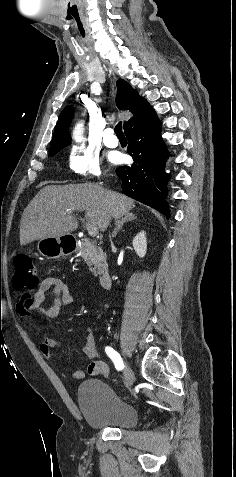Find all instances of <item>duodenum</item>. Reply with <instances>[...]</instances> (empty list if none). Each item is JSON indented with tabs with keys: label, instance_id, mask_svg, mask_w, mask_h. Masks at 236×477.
<instances>
[{
	"label": "duodenum",
	"instance_id": "1",
	"mask_svg": "<svg viewBox=\"0 0 236 477\" xmlns=\"http://www.w3.org/2000/svg\"><path fill=\"white\" fill-rule=\"evenodd\" d=\"M77 247V241L75 239H65L64 240V248L65 249H75ZM100 286L103 289H108L112 285V278L109 272L105 271L102 273L100 280Z\"/></svg>",
	"mask_w": 236,
	"mask_h": 477
}]
</instances>
